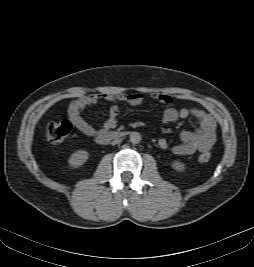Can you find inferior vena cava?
Returning a JSON list of instances; mask_svg holds the SVG:
<instances>
[{
	"instance_id": "inferior-vena-cava-1",
	"label": "inferior vena cava",
	"mask_w": 254,
	"mask_h": 267,
	"mask_svg": "<svg viewBox=\"0 0 254 267\" xmlns=\"http://www.w3.org/2000/svg\"><path fill=\"white\" fill-rule=\"evenodd\" d=\"M121 140L120 139H115L112 141V145L118 144Z\"/></svg>"
}]
</instances>
